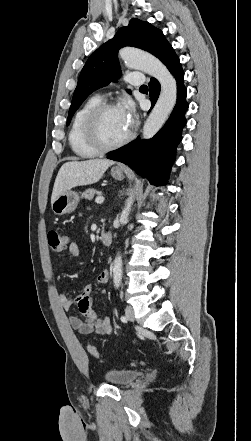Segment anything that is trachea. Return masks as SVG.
<instances>
[{
    "instance_id": "1",
    "label": "trachea",
    "mask_w": 251,
    "mask_h": 441,
    "mask_svg": "<svg viewBox=\"0 0 251 441\" xmlns=\"http://www.w3.org/2000/svg\"><path fill=\"white\" fill-rule=\"evenodd\" d=\"M141 89H146V88H148L146 85H142L141 87H140Z\"/></svg>"
}]
</instances>
